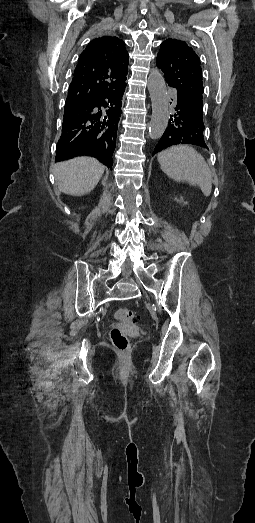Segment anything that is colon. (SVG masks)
Here are the masks:
<instances>
[{"label":"colon","instance_id":"1","mask_svg":"<svg viewBox=\"0 0 255 523\" xmlns=\"http://www.w3.org/2000/svg\"><path fill=\"white\" fill-rule=\"evenodd\" d=\"M115 317L121 322L137 323L139 320L133 311L128 308H119L115 312ZM110 337L114 347L118 351L125 353L129 350V339L122 328L114 327L110 332Z\"/></svg>","mask_w":255,"mask_h":523}]
</instances>
